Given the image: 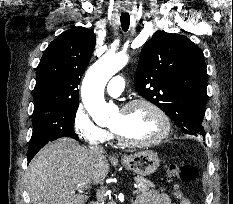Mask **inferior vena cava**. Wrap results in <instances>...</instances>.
Returning <instances> with one entry per match:
<instances>
[{
    "label": "inferior vena cava",
    "instance_id": "obj_1",
    "mask_svg": "<svg viewBox=\"0 0 233 204\" xmlns=\"http://www.w3.org/2000/svg\"><path fill=\"white\" fill-rule=\"evenodd\" d=\"M90 149L96 156H102L104 154V149L100 145H98V143H93L90 146Z\"/></svg>",
    "mask_w": 233,
    "mask_h": 204
}]
</instances>
